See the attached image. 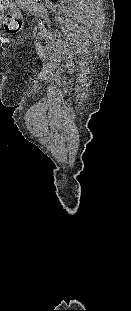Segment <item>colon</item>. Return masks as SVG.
<instances>
[{
	"mask_svg": "<svg viewBox=\"0 0 131 311\" xmlns=\"http://www.w3.org/2000/svg\"><path fill=\"white\" fill-rule=\"evenodd\" d=\"M5 11L4 29L7 33L15 34L21 29L22 21L13 0H0V13Z\"/></svg>",
	"mask_w": 131,
	"mask_h": 311,
	"instance_id": "colon-1",
	"label": "colon"
}]
</instances>
